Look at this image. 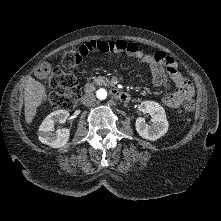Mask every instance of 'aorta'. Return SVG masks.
Instances as JSON below:
<instances>
[{
    "label": "aorta",
    "instance_id": "762f6f07",
    "mask_svg": "<svg viewBox=\"0 0 221 221\" xmlns=\"http://www.w3.org/2000/svg\"><path fill=\"white\" fill-rule=\"evenodd\" d=\"M97 98L100 100H104L107 97V91L105 89H99L96 93Z\"/></svg>",
    "mask_w": 221,
    "mask_h": 221
}]
</instances>
